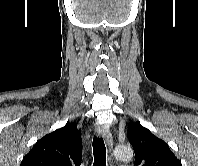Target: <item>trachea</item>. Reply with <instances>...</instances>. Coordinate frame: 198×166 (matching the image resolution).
I'll use <instances>...</instances> for the list:
<instances>
[{"instance_id":"1","label":"trachea","mask_w":198,"mask_h":166,"mask_svg":"<svg viewBox=\"0 0 198 166\" xmlns=\"http://www.w3.org/2000/svg\"><path fill=\"white\" fill-rule=\"evenodd\" d=\"M93 166H106V147L103 138H93Z\"/></svg>"}]
</instances>
